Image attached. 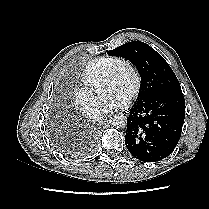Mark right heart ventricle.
I'll use <instances>...</instances> for the list:
<instances>
[{"label": "right heart ventricle", "mask_w": 209, "mask_h": 209, "mask_svg": "<svg viewBox=\"0 0 209 209\" xmlns=\"http://www.w3.org/2000/svg\"><path fill=\"white\" fill-rule=\"evenodd\" d=\"M119 60L115 56H102L89 61L80 73L81 81L91 90L98 88L108 70Z\"/></svg>", "instance_id": "e07e8e85"}]
</instances>
